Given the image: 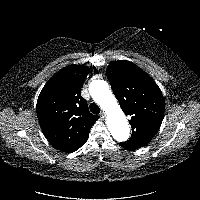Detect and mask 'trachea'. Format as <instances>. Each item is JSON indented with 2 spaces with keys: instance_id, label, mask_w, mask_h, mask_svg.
Masks as SVG:
<instances>
[{
  "instance_id": "obj_1",
  "label": "trachea",
  "mask_w": 200,
  "mask_h": 200,
  "mask_svg": "<svg viewBox=\"0 0 200 200\" xmlns=\"http://www.w3.org/2000/svg\"><path fill=\"white\" fill-rule=\"evenodd\" d=\"M90 111L93 114H99L100 113V108H99V106L96 103H91L90 104Z\"/></svg>"
}]
</instances>
